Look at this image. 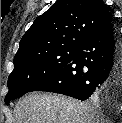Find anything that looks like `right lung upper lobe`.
I'll return each instance as SVG.
<instances>
[{
  "label": "right lung upper lobe",
  "mask_w": 122,
  "mask_h": 123,
  "mask_svg": "<svg viewBox=\"0 0 122 123\" xmlns=\"http://www.w3.org/2000/svg\"><path fill=\"white\" fill-rule=\"evenodd\" d=\"M112 16L102 0H56L20 41L14 62L62 49H77Z\"/></svg>",
  "instance_id": "1"
}]
</instances>
